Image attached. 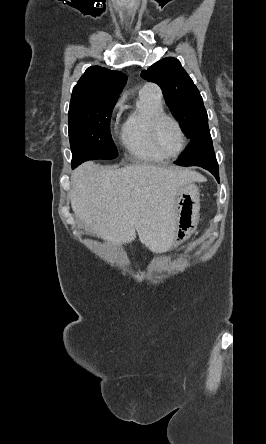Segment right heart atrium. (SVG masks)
I'll return each mask as SVG.
<instances>
[{"mask_svg":"<svg viewBox=\"0 0 266 444\" xmlns=\"http://www.w3.org/2000/svg\"><path fill=\"white\" fill-rule=\"evenodd\" d=\"M121 103H122V100H120V101L118 102V106H119Z\"/></svg>","mask_w":266,"mask_h":444,"instance_id":"obj_1","label":"right heart atrium"}]
</instances>
